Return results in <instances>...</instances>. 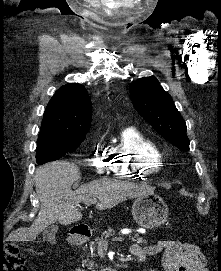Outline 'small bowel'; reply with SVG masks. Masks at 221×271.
<instances>
[{
  "label": "small bowel",
  "instance_id": "c3829d8e",
  "mask_svg": "<svg viewBox=\"0 0 221 271\" xmlns=\"http://www.w3.org/2000/svg\"><path fill=\"white\" fill-rule=\"evenodd\" d=\"M131 255L141 258L163 252L162 266L164 271H208L206 260L200 248L194 244L178 240L165 239L153 245L129 246ZM154 271V269H146Z\"/></svg>",
  "mask_w": 221,
  "mask_h": 271
}]
</instances>
